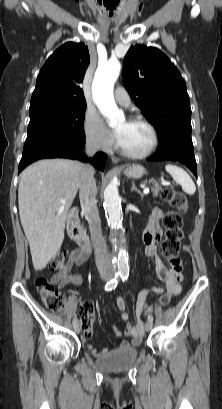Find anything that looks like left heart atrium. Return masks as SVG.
Listing matches in <instances>:
<instances>
[{"label":"left heart atrium","instance_id":"1","mask_svg":"<svg viewBox=\"0 0 222 409\" xmlns=\"http://www.w3.org/2000/svg\"><path fill=\"white\" fill-rule=\"evenodd\" d=\"M121 134L119 131H115L114 132V138L116 139V141L118 142L120 140Z\"/></svg>","mask_w":222,"mask_h":409}]
</instances>
